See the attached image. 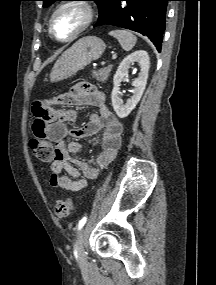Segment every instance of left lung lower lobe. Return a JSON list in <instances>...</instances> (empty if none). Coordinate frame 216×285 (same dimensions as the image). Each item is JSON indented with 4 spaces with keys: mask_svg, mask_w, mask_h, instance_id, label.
<instances>
[{
    "mask_svg": "<svg viewBox=\"0 0 216 285\" xmlns=\"http://www.w3.org/2000/svg\"><path fill=\"white\" fill-rule=\"evenodd\" d=\"M170 0H114L94 27L114 25L148 37L160 52Z\"/></svg>",
    "mask_w": 216,
    "mask_h": 285,
    "instance_id": "0a47b994",
    "label": "left lung lower lobe"
}]
</instances>
